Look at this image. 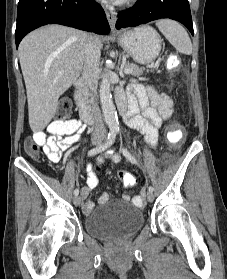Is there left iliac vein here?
I'll use <instances>...</instances> for the list:
<instances>
[{"mask_svg": "<svg viewBox=\"0 0 227 279\" xmlns=\"http://www.w3.org/2000/svg\"><path fill=\"white\" fill-rule=\"evenodd\" d=\"M146 197H147V201H149V202H152L154 200V195L150 191L147 192Z\"/></svg>", "mask_w": 227, "mask_h": 279, "instance_id": "1", "label": "left iliac vein"}]
</instances>
